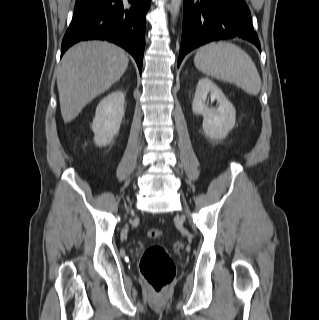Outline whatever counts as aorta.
<instances>
[{
    "instance_id": "1",
    "label": "aorta",
    "mask_w": 319,
    "mask_h": 320,
    "mask_svg": "<svg viewBox=\"0 0 319 320\" xmlns=\"http://www.w3.org/2000/svg\"><path fill=\"white\" fill-rule=\"evenodd\" d=\"M182 0H171L172 19L174 21L175 15L179 12Z\"/></svg>"
}]
</instances>
